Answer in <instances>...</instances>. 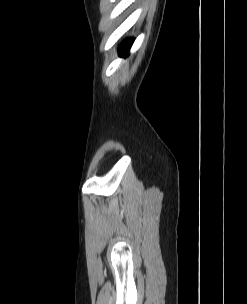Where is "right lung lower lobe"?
I'll return each mask as SVG.
<instances>
[{
    "label": "right lung lower lobe",
    "mask_w": 247,
    "mask_h": 304,
    "mask_svg": "<svg viewBox=\"0 0 247 304\" xmlns=\"http://www.w3.org/2000/svg\"><path fill=\"white\" fill-rule=\"evenodd\" d=\"M134 39H128L126 40L124 43L121 44L120 49H119V53L122 56H128L129 54V49L131 47V45L133 44Z\"/></svg>",
    "instance_id": "1"
}]
</instances>
